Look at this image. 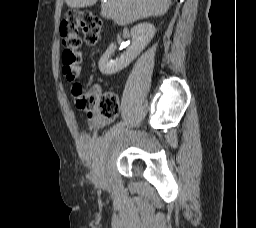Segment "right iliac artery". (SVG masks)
<instances>
[{
  "mask_svg": "<svg viewBox=\"0 0 256 228\" xmlns=\"http://www.w3.org/2000/svg\"><path fill=\"white\" fill-rule=\"evenodd\" d=\"M126 124H127V121L119 122L116 125H114L112 130L117 131V130L123 128Z\"/></svg>",
  "mask_w": 256,
  "mask_h": 228,
  "instance_id": "1",
  "label": "right iliac artery"
}]
</instances>
